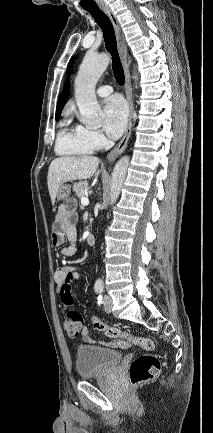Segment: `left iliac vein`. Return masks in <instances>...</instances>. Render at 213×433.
<instances>
[{"label":"left iliac vein","mask_w":213,"mask_h":433,"mask_svg":"<svg viewBox=\"0 0 213 433\" xmlns=\"http://www.w3.org/2000/svg\"><path fill=\"white\" fill-rule=\"evenodd\" d=\"M112 306H113V302H112V298L108 295L104 296V309L107 313H110L112 311Z\"/></svg>","instance_id":"obj_1"}]
</instances>
